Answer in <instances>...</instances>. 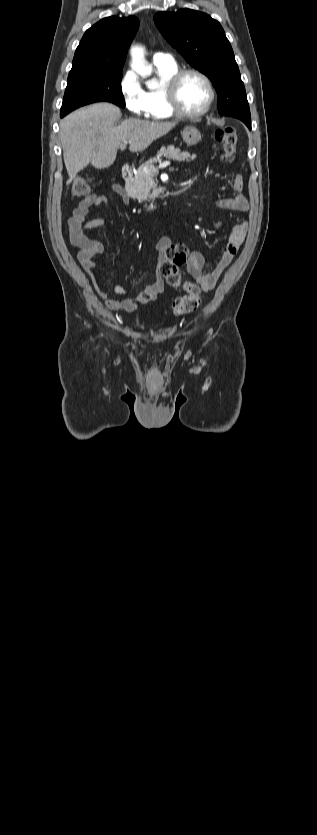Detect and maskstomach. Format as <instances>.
<instances>
[{
	"label": "stomach",
	"instance_id": "stomach-1",
	"mask_svg": "<svg viewBox=\"0 0 317 835\" xmlns=\"http://www.w3.org/2000/svg\"><path fill=\"white\" fill-rule=\"evenodd\" d=\"M182 138L186 144L193 146L201 141V133L196 127L187 126L182 131Z\"/></svg>",
	"mask_w": 317,
	"mask_h": 835
}]
</instances>
